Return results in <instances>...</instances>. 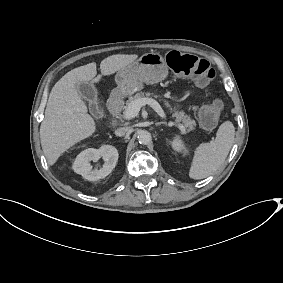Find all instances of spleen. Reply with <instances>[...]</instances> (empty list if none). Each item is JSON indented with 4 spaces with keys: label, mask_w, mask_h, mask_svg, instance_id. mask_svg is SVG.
Segmentation results:
<instances>
[{
    "label": "spleen",
    "mask_w": 283,
    "mask_h": 283,
    "mask_svg": "<svg viewBox=\"0 0 283 283\" xmlns=\"http://www.w3.org/2000/svg\"><path fill=\"white\" fill-rule=\"evenodd\" d=\"M235 138V129L231 121L223 122L214 140L201 143L194 150L189 177L195 180L212 175L224 163Z\"/></svg>",
    "instance_id": "1"
}]
</instances>
